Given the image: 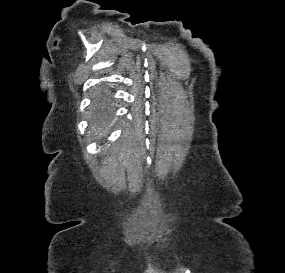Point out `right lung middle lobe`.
Instances as JSON below:
<instances>
[{"instance_id":"obj_1","label":"right lung middle lobe","mask_w":285,"mask_h":273,"mask_svg":"<svg viewBox=\"0 0 285 273\" xmlns=\"http://www.w3.org/2000/svg\"><path fill=\"white\" fill-rule=\"evenodd\" d=\"M108 95L106 93H100L95 98V106L97 108L96 121L98 124L106 122L109 115V110L106 107V101Z\"/></svg>"}]
</instances>
